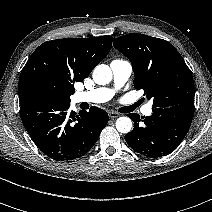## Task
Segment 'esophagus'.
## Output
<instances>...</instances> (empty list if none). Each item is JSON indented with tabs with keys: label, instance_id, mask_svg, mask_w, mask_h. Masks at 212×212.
<instances>
[{
	"label": "esophagus",
	"instance_id": "obj_1",
	"mask_svg": "<svg viewBox=\"0 0 212 212\" xmlns=\"http://www.w3.org/2000/svg\"><path fill=\"white\" fill-rule=\"evenodd\" d=\"M119 116H120L119 113H116V112H109V117H110L111 119H116V118H118Z\"/></svg>",
	"mask_w": 212,
	"mask_h": 212
}]
</instances>
